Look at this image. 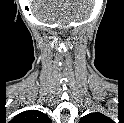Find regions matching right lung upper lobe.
<instances>
[{
	"label": "right lung upper lobe",
	"instance_id": "right-lung-upper-lobe-1",
	"mask_svg": "<svg viewBox=\"0 0 124 123\" xmlns=\"http://www.w3.org/2000/svg\"><path fill=\"white\" fill-rule=\"evenodd\" d=\"M15 120L22 123H51L47 115L38 110H29L15 116Z\"/></svg>",
	"mask_w": 124,
	"mask_h": 123
}]
</instances>
